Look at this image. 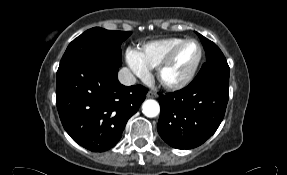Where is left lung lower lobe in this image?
I'll use <instances>...</instances> for the list:
<instances>
[{"mask_svg":"<svg viewBox=\"0 0 287 175\" xmlns=\"http://www.w3.org/2000/svg\"><path fill=\"white\" fill-rule=\"evenodd\" d=\"M228 83L219 79L191 82L179 91L161 95L157 125L161 138L177 149H192L209 139L223 120Z\"/></svg>","mask_w":287,"mask_h":175,"instance_id":"obj_1","label":"left lung lower lobe"}]
</instances>
